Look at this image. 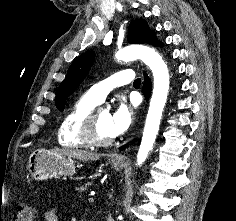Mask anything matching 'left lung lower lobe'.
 <instances>
[{"instance_id": "0a47b994", "label": "left lung lower lobe", "mask_w": 236, "mask_h": 221, "mask_svg": "<svg viewBox=\"0 0 236 221\" xmlns=\"http://www.w3.org/2000/svg\"><path fill=\"white\" fill-rule=\"evenodd\" d=\"M152 45L161 46L162 44L158 40H155ZM144 78L145 80L143 84V93H144L145 98L148 99L151 92V81L146 74H144Z\"/></svg>"}]
</instances>
